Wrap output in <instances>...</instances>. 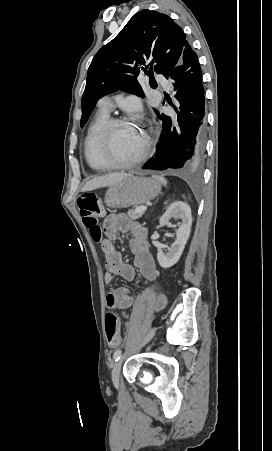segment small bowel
I'll use <instances>...</instances> for the list:
<instances>
[{"label": "small bowel", "instance_id": "1", "mask_svg": "<svg viewBox=\"0 0 272 451\" xmlns=\"http://www.w3.org/2000/svg\"><path fill=\"white\" fill-rule=\"evenodd\" d=\"M103 232L104 238L100 245L106 267L105 283H111L114 275L132 281L136 276V271L140 272L147 281L157 282L159 272L149 249L147 230L140 222L125 214L114 213L104 220ZM123 235L129 236V246L134 257L133 266L123 261L121 253L114 246V242ZM134 302V295L125 287L111 289L107 295V306L112 309L127 310ZM164 304V298L160 297L155 306L160 307ZM118 339L120 342V335H118Z\"/></svg>", "mask_w": 272, "mask_h": 451}]
</instances>
